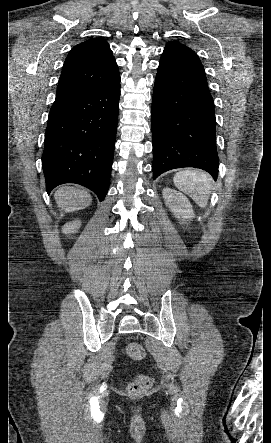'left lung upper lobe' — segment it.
Returning a JSON list of instances; mask_svg holds the SVG:
<instances>
[{"label": "left lung upper lobe", "mask_w": 271, "mask_h": 443, "mask_svg": "<svg viewBox=\"0 0 271 443\" xmlns=\"http://www.w3.org/2000/svg\"><path fill=\"white\" fill-rule=\"evenodd\" d=\"M176 44H180V43L175 42V41H171V42H169L167 45H176Z\"/></svg>", "instance_id": "5c2ea615"}]
</instances>
